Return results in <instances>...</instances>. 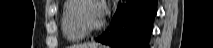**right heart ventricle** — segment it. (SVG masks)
Returning <instances> with one entry per match:
<instances>
[{"label":"right heart ventricle","instance_id":"right-heart-ventricle-1","mask_svg":"<svg viewBox=\"0 0 213 48\" xmlns=\"http://www.w3.org/2000/svg\"><path fill=\"white\" fill-rule=\"evenodd\" d=\"M78 0H66L61 12V30L63 36L70 42H78L86 37L74 19V9Z\"/></svg>","mask_w":213,"mask_h":48}]
</instances>
